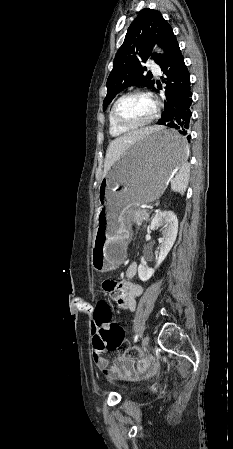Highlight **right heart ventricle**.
<instances>
[{
    "label": "right heart ventricle",
    "mask_w": 233,
    "mask_h": 449,
    "mask_svg": "<svg viewBox=\"0 0 233 449\" xmlns=\"http://www.w3.org/2000/svg\"><path fill=\"white\" fill-rule=\"evenodd\" d=\"M109 133L112 137H120L128 133V130L119 129L111 120L110 114L108 118Z\"/></svg>",
    "instance_id": "e07e8e85"
}]
</instances>
